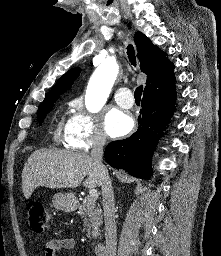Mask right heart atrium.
Listing matches in <instances>:
<instances>
[{
  "label": "right heart atrium",
  "mask_w": 221,
  "mask_h": 256,
  "mask_svg": "<svg viewBox=\"0 0 221 256\" xmlns=\"http://www.w3.org/2000/svg\"><path fill=\"white\" fill-rule=\"evenodd\" d=\"M68 146L73 149L87 151L93 147H102L106 138L96 118L81 107L69 118L64 131Z\"/></svg>",
  "instance_id": "right-heart-atrium-1"
}]
</instances>
